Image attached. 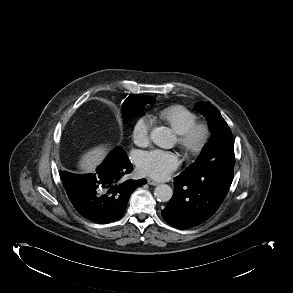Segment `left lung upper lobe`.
<instances>
[{"label": "left lung upper lobe", "mask_w": 293, "mask_h": 293, "mask_svg": "<svg viewBox=\"0 0 293 293\" xmlns=\"http://www.w3.org/2000/svg\"><path fill=\"white\" fill-rule=\"evenodd\" d=\"M195 108L207 116L213 136L211 142L203 149L199 158L186 170H220L228 166L234 167L233 136L226 121L218 109L208 101L198 102Z\"/></svg>", "instance_id": "left-lung-upper-lobe-1"}]
</instances>
